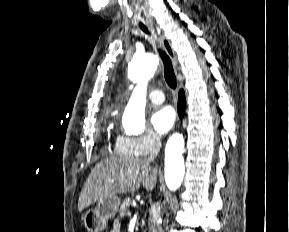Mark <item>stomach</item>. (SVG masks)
I'll return each mask as SVG.
<instances>
[{
    "mask_svg": "<svg viewBox=\"0 0 289 232\" xmlns=\"http://www.w3.org/2000/svg\"><path fill=\"white\" fill-rule=\"evenodd\" d=\"M119 205L120 199L113 196L98 201L95 208L87 210L82 220L88 232H102L108 221L115 217Z\"/></svg>",
    "mask_w": 289,
    "mask_h": 232,
    "instance_id": "obj_1",
    "label": "stomach"
}]
</instances>
